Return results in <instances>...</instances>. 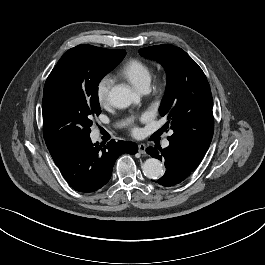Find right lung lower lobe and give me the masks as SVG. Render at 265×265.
I'll list each match as a JSON object with an SVG mask.
<instances>
[{"mask_svg":"<svg viewBox=\"0 0 265 265\" xmlns=\"http://www.w3.org/2000/svg\"><path fill=\"white\" fill-rule=\"evenodd\" d=\"M137 150L136 143L114 140L102 147L93 144L89 136L52 158L73 189L89 193L109 181L114 163L121 154H136Z\"/></svg>","mask_w":265,"mask_h":265,"instance_id":"98d812e1","label":"right lung lower lobe"}]
</instances>
